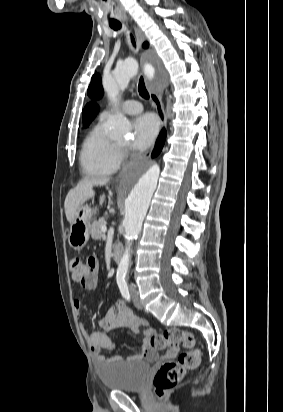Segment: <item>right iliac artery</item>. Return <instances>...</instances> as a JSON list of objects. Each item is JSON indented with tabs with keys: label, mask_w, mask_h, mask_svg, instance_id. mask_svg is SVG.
<instances>
[{
	"label": "right iliac artery",
	"mask_w": 283,
	"mask_h": 412,
	"mask_svg": "<svg viewBox=\"0 0 283 412\" xmlns=\"http://www.w3.org/2000/svg\"><path fill=\"white\" fill-rule=\"evenodd\" d=\"M117 283H118V286H119V289H120V292H121L122 296L127 301H130V293H129L127 283L124 280V276L117 275Z\"/></svg>",
	"instance_id": "obj_1"
}]
</instances>
